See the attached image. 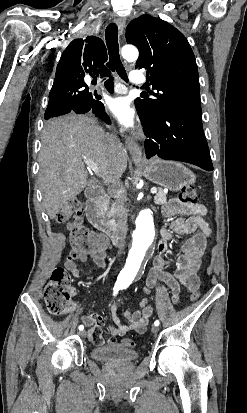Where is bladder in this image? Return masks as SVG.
<instances>
[{
	"label": "bladder",
	"instance_id": "31cf9c89",
	"mask_svg": "<svg viewBox=\"0 0 247 413\" xmlns=\"http://www.w3.org/2000/svg\"><path fill=\"white\" fill-rule=\"evenodd\" d=\"M90 354L94 361L108 364H129L138 357L137 351L125 348L118 343L98 347L91 350Z\"/></svg>",
	"mask_w": 247,
	"mask_h": 413
}]
</instances>
